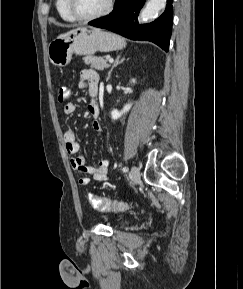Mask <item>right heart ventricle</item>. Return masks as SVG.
<instances>
[{"mask_svg":"<svg viewBox=\"0 0 243 289\" xmlns=\"http://www.w3.org/2000/svg\"><path fill=\"white\" fill-rule=\"evenodd\" d=\"M56 9L59 16L66 22H75L76 19L69 13L67 0H56Z\"/></svg>","mask_w":243,"mask_h":289,"instance_id":"1","label":"right heart ventricle"}]
</instances>
